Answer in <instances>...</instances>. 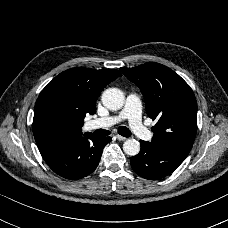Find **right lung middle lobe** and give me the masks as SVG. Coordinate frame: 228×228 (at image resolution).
Returning a JSON list of instances; mask_svg holds the SVG:
<instances>
[{"label":"right lung middle lobe","mask_w":228,"mask_h":228,"mask_svg":"<svg viewBox=\"0 0 228 228\" xmlns=\"http://www.w3.org/2000/svg\"><path fill=\"white\" fill-rule=\"evenodd\" d=\"M72 119L73 113L55 97L43 99L34 109L33 123L50 133L61 132Z\"/></svg>","instance_id":"1"}]
</instances>
